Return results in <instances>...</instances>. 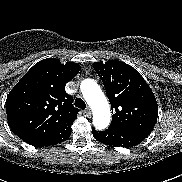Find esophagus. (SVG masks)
<instances>
[{"label":"esophagus","mask_w":182,"mask_h":182,"mask_svg":"<svg viewBox=\"0 0 182 182\" xmlns=\"http://www.w3.org/2000/svg\"><path fill=\"white\" fill-rule=\"evenodd\" d=\"M84 115H85L86 117L90 118L91 115H92L91 110H90L89 108H87V109L84 111Z\"/></svg>","instance_id":"1"}]
</instances>
